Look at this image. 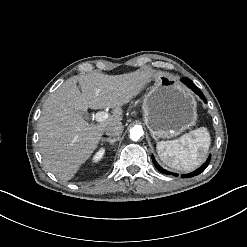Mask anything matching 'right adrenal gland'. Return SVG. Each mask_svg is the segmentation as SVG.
<instances>
[{
    "mask_svg": "<svg viewBox=\"0 0 247 247\" xmlns=\"http://www.w3.org/2000/svg\"><path fill=\"white\" fill-rule=\"evenodd\" d=\"M101 141H107V142H110V143H115L116 142V139L115 138H101Z\"/></svg>",
    "mask_w": 247,
    "mask_h": 247,
    "instance_id": "obj_1",
    "label": "right adrenal gland"
}]
</instances>
